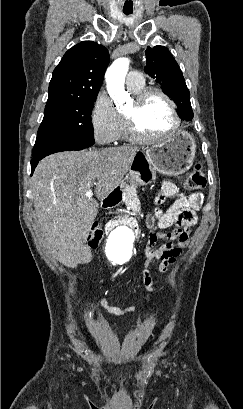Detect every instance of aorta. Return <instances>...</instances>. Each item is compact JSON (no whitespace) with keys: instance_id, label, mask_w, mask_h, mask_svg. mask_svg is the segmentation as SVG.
<instances>
[{"instance_id":"aorta-1","label":"aorta","mask_w":243,"mask_h":409,"mask_svg":"<svg viewBox=\"0 0 243 409\" xmlns=\"http://www.w3.org/2000/svg\"><path fill=\"white\" fill-rule=\"evenodd\" d=\"M128 58L116 59L107 69L105 78L107 90L115 103L122 105L127 100L125 91V77L129 68ZM134 242V232L126 225L116 227L108 236L106 253L111 260L128 256L131 253Z\"/></svg>"}]
</instances>
